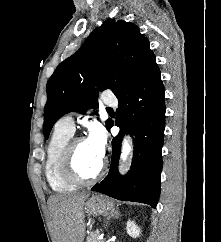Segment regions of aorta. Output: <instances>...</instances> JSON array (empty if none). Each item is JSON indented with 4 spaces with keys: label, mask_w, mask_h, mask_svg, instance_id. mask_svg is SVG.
<instances>
[{
    "label": "aorta",
    "mask_w": 221,
    "mask_h": 242,
    "mask_svg": "<svg viewBox=\"0 0 221 242\" xmlns=\"http://www.w3.org/2000/svg\"><path fill=\"white\" fill-rule=\"evenodd\" d=\"M131 151V146L125 138L122 143L121 160L125 161Z\"/></svg>",
    "instance_id": "762f6f07"
}]
</instances>
